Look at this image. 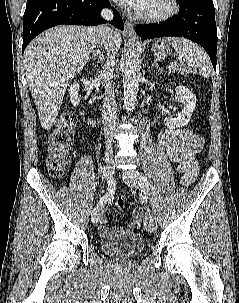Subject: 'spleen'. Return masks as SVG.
<instances>
[{
	"label": "spleen",
	"instance_id": "3e777b00",
	"mask_svg": "<svg viewBox=\"0 0 239 303\" xmlns=\"http://www.w3.org/2000/svg\"><path fill=\"white\" fill-rule=\"evenodd\" d=\"M170 44L181 55L186 63L195 69L204 78H209L212 71V65L206 51L196 43L177 37H167L162 40Z\"/></svg>",
	"mask_w": 239,
	"mask_h": 303
}]
</instances>
